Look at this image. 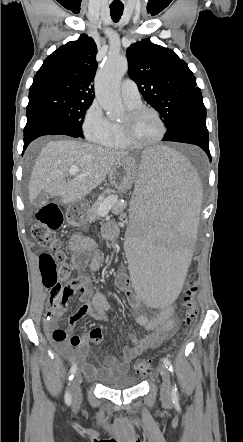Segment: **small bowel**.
<instances>
[{"instance_id":"obj_1","label":"small bowel","mask_w":243,"mask_h":442,"mask_svg":"<svg viewBox=\"0 0 243 442\" xmlns=\"http://www.w3.org/2000/svg\"><path fill=\"white\" fill-rule=\"evenodd\" d=\"M117 234L114 224L108 223L103 227V235L112 239ZM69 246L72 251V262L75 268L82 270L86 267L91 272H96L101 267L103 253L97 242L84 234H74ZM80 285V304L76 313L69 318V331L74 332L77 323L84 317L95 320H106L108 314L113 311L112 304L99 291L90 287V279L82 277L78 280ZM116 286L126 293L129 303L137 307L140 304L138 296H134L131 281L127 274L118 273L115 280ZM66 308V304L50 308L43 321L45 328L51 332L59 325V317ZM174 309L171 306L165 307L151 318L137 316L135 323L144 328L147 335L138 338L136 335L127 334V338L133 346H125L120 358L108 355L103 359L101 365H95L85 357L88 353V341L101 343L103 340L102 331L98 327L90 330L88 336L83 337L73 334L69 341H55L61 351L68 355L73 362L81 361L84 372L94 379L105 378L111 374L127 372L134 357L140 356L143 352L157 348L163 341L169 339L176 330V320L174 319ZM119 331H122L118 324ZM70 346L75 347V351L70 350Z\"/></svg>"}]
</instances>
